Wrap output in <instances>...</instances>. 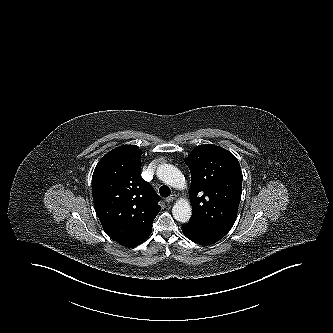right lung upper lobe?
<instances>
[{"mask_svg":"<svg viewBox=\"0 0 333 333\" xmlns=\"http://www.w3.org/2000/svg\"><path fill=\"white\" fill-rule=\"evenodd\" d=\"M142 151L117 147L101 158L92 176L96 214L106 234L126 247L144 242L161 207L160 197L140 174Z\"/></svg>","mask_w":333,"mask_h":333,"instance_id":"cb5924a9","label":"right lung upper lobe"}]
</instances>
